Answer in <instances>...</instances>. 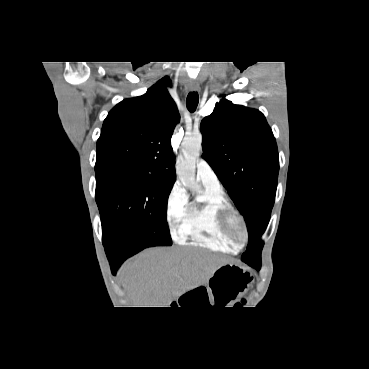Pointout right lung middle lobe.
Wrapping results in <instances>:
<instances>
[{
    "label": "right lung middle lobe",
    "instance_id": "1",
    "mask_svg": "<svg viewBox=\"0 0 369 369\" xmlns=\"http://www.w3.org/2000/svg\"><path fill=\"white\" fill-rule=\"evenodd\" d=\"M95 173L104 247L118 242L141 249L172 245L166 211L173 183L134 170L95 168Z\"/></svg>",
    "mask_w": 369,
    "mask_h": 369
}]
</instances>
